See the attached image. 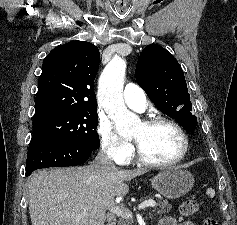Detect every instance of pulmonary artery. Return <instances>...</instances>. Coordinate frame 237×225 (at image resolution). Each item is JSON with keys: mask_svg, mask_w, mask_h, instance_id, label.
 Here are the masks:
<instances>
[{"mask_svg": "<svg viewBox=\"0 0 237 225\" xmlns=\"http://www.w3.org/2000/svg\"><path fill=\"white\" fill-rule=\"evenodd\" d=\"M126 105L136 111H144L147 107V98L143 89L134 83L126 84L123 92Z\"/></svg>", "mask_w": 237, "mask_h": 225, "instance_id": "obj_1", "label": "pulmonary artery"}]
</instances>
